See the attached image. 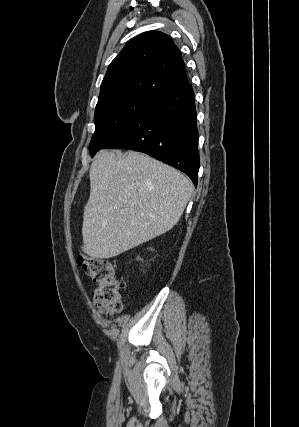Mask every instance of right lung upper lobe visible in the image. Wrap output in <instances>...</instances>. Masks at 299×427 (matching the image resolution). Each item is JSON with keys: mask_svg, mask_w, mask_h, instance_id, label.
<instances>
[{"mask_svg": "<svg viewBox=\"0 0 299 427\" xmlns=\"http://www.w3.org/2000/svg\"><path fill=\"white\" fill-rule=\"evenodd\" d=\"M188 84L181 53L171 37L148 31L130 40L110 63L98 101L121 94L155 100Z\"/></svg>", "mask_w": 299, "mask_h": 427, "instance_id": "right-lung-upper-lobe-1", "label": "right lung upper lobe"}]
</instances>
